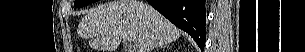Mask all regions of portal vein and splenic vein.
I'll return each instance as SVG.
<instances>
[{
    "label": "portal vein and splenic vein",
    "instance_id": "18ae733b",
    "mask_svg": "<svg viewBox=\"0 0 305 52\" xmlns=\"http://www.w3.org/2000/svg\"><path fill=\"white\" fill-rule=\"evenodd\" d=\"M129 42H130V44H129L128 48H129V51L132 52L135 50V43L133 41H129Z\"/></svg>",
    "mask_w": 305,
    "mask_h": 52
}]
</instances>
